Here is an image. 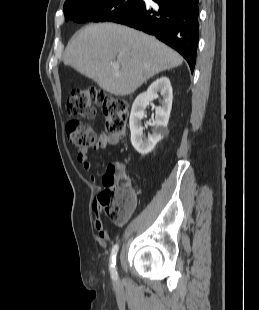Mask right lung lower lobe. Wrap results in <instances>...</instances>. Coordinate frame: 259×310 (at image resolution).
Masks as SVG:
<instances>
[{"instance_id": "98d812e1", "label": "right lung lower lobe", "mask_w": 259, "mask_h": 310, "mask_svg": "<svg viewBox=\"0 0 259 310\" xmlns=\"http://www.w3.org/2000/svg\"><path fill=\"white\" fill-rule=\"evenodd\" d=\"M153 1L157 7L144 4L118 23L154 35L178 51L193 71L199 36V0Z\"/></svg>"}]
</instances>
